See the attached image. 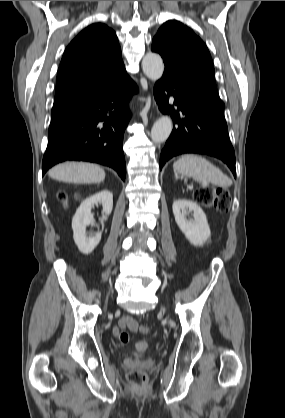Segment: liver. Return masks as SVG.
Segmentation results:
<instances>
[{
    "label": "liver",
    "instance_id": "1",
    "mask_svg": "<svg viewBox=\"0 0 285 418\" xmlns=\"http://www.w3.org/2000/svg\"><path fill=\"white\" fill-rule=\"evenodd\" d=\"M49 177L57 181L76 184L100 183L105 179V171L95 164L66 162L53 167Z\"/></svg>",
    "mask_w": 285,
    "mask_h": 418
}]
</instances>
